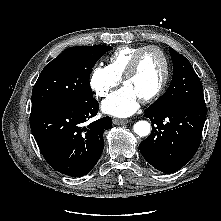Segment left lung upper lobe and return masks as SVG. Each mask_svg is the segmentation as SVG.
<instances>
[{
    "instance_id": "obj_1",
    "label": "left lung upper lobe",
    "mask_w": 221,
    "mask_h": 221,
    "mask_svg": "<svg viewBox=\"0 0 221 221\" xmlns=\"http://www.w3.org/2000/svg\"><path fill=\"white\" fill-rule=\"evenodd\" d=\"M173 77L167 91L147 109L157 111L181 106L205 105L202 84L190 62L169 47Z\"/></svg>"
}]
</instances>
